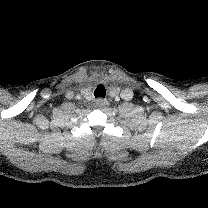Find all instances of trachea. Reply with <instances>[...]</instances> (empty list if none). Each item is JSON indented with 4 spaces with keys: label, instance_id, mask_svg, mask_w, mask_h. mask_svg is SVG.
Listing matches in <instances>:
<instances>
[{
    "label": "trachea",
    "instance_id": "obj_1",
    "mask_svg": "<svg viewBox=\"0 0 208 208\" xmlns=\"http://www.w3.org/2000/svg\"><path fill=\"white\" fill-rule=\"evenodd\" d=\"M94 96H95V98H98V97L105 98V96H106V89H105L104 85L99 84L96 87V89L94 91Z\"/></svg>",
    "mask_w": 208,
    "mask_h": 208
}]
</instances>
